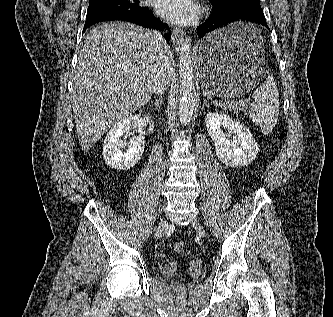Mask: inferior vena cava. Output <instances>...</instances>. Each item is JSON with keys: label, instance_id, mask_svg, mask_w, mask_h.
I'll return each mask as SVG.
<instances>
[{"label": "inferior vena cava", "instance_id": "1", "mask_svg": "<svg viewBox=\"0 0 333 317\" xmlns=\"http://www.w3.org/2000/svg\"><path fill=\"white\" fill-rule=\"evenodd\" d=\"M155 38L157 40V43L159 44L161 59L157 65V73L153 89L154 92L159 95L162 94L167 89L170 81L166 73V59H165V54L167 53L166 40L161 35V33H156Z\"/></svg>", "mask_w": 333, "mask_h": 317}]
</instances>
